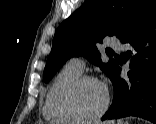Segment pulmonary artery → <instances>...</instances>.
Masks as SVG:
<instances>
[{
    "label": "pulmonary artery",
    "instance_id": "obj_1",
    "mask_svg": "<svg viewBox=\"0 0 156 124\" xmlns=\"http://www.w3.org/2000/svg\"><path fill=\"white\" fill-rule=\"evenodd\" d=\"M107 45L115 48L118 51L122 50V45L120 44V42L117 38H109L107 40ZM66 65L70 68H73V69L81 72L84 68V61L81 57H73L68 60Z\"/></svg>",
    "mask_w": 156,
    "mask_h": 124
}]
</instances>
